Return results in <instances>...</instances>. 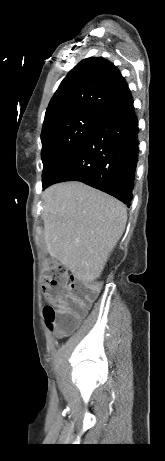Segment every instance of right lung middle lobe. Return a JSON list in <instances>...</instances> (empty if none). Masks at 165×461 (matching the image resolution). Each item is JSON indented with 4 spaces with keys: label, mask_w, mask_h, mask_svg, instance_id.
<instances>
[{
    "label": "right lung middle lobe",
    "mask_w": 165,
    "mask_h": 461,
    "mask_svg": "<svg viewBox=\"0 0 165 461\" xmlns=\"http://www.w3.org/2000/svg\"><path fill=\"white\" fill-rule=\"evenodd\" d=\"M101 121L98 117L83 115L57 119L42 130L43 186Z\"/></svg>",
    "instance_id": "right-lung-middle-lobe-1"
}]
</instances>
